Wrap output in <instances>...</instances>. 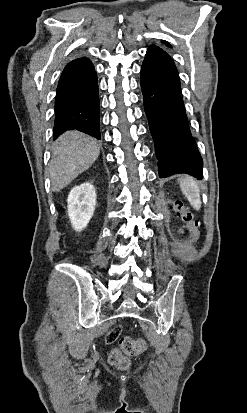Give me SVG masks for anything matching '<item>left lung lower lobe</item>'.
Returning <instances> with one entry per match:
<instances>
[{
    "mask_svg": "<svg viewBox=\"0 0 247 413\" xmlns=\"http://www.w3.org/2000/svg\"><path fill=\"white\" fill-rule=\"evenodd\" d=\"M140 84L159 177L187 173L202 179L203 162L190 133L178 71L163 49L150 46L147 50Z\"/></svg>",
    "mask_w": 247,
    "mask_h": 413,
    "instance_id": "0a47b994",
    "label": "left lung lower lobe"
}]
</instances>
